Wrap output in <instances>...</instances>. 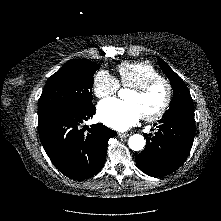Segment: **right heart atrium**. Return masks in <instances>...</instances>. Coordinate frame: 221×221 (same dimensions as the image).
Here are the masks:
<instances>
[{
    "label": "right heart atrium",
    "instance_id": "1",
    "mask_svg": "<svg viewBox=\"0 0 221 221\" xmlns=\"http://www.w3.org/2000/svg\"><path fill=\"white\" fill-rule=\"evenodd\" d=\"M120 83L111 73L101 70L96 73L93 79V92L98 98H106L116 94Z\"/></svg>",
    "mask_w": 221,
    "mask_h": 221
}]
</instances>
